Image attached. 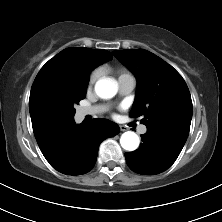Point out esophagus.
Segmentation results:
<instances>
[{"label": "esophagus", "mask_w": 222, "mask_h": 222, "mask_svg": "<svg viewBox=\"0 0 222 222\" xmlns=\"http://www.w3.org/2000/svg\"><path fill=\"white\" fill-rule=\"evenodd\" d=\"M119 127H120L121 131H126L127 130V128L125 126H123V125H120Z\"/></svg>", "instance_id": "34e87169"}]
</instances>
